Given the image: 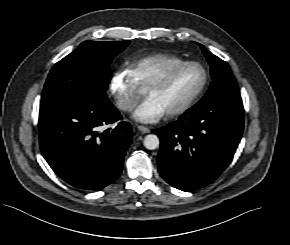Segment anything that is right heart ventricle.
I'll return each mask as SVG.
<instances>
[{
	"mask_svg": "<svg viewBox=\"0 0 290 245\" xmlns=\"http://www.w3.org/2000/svg\"><path fill=\"white\" fill-rule=\"evenodd\" d=\"M181 62H184V60L176 55L154 54L131 63L129 71L137 84L146 86L161 71Z\"/></svg>",
	"mask_w": 290,
	"mask_h": 245,
	"instance_id": "right-heart-ventricle-1",
	"label": "right heart ventricle"
}]
</instances>
